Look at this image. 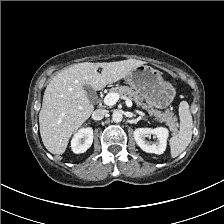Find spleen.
I'll return each instance as SVG.
<instances>
[{
	"label": "spleen",
	"instance_id": "1",
	"mask_svg": "<svg viewBox=\"0 0 224 224\" xmlns=\"http://www.w3.org/2000/svg\"><path fill=\"white\" fill-rule=\"evenodd\" d=\"M179 117V131L169 141L170 153L173 158L179 156L187 148L192 138L193 120L189 104L186 101H181L179 104Z\"/></svg>",
	"mask_w": 224,
	"mask_h": 224
}]
</instances>
